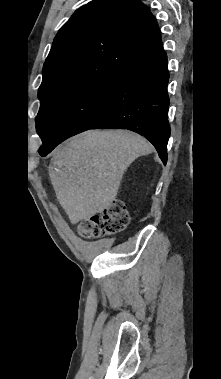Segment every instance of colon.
Listing matches in <instances>:
<instances>
[{"instance_id":"colon-1","label":"colon","mask_w":221,"mask_h":379,"mask_svg":"<svg viewBox=\"0 0 221 379\" xmlns=\"http://www.w3.org/2000/svg\"><path fill=\"white\" fill-rule=\"evenodd\" d=\"M128 222L129 214L124 202L116 200L101 213L81 221L78 232L84 238H99L122 231Z\"/></svg>"}]
</instances>
